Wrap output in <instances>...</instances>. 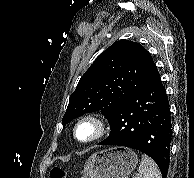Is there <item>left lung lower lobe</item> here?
<instances>
[{
  "label": "left lung lower lobe",
  "mask_w": 194,
  "mask_h": 178,
  "mask_svg": "<svg viewBox=\"0 0 194 178\" xmlns=\"http://www.w3.org/2000/svg\"><path fill=\"white\" fill-rule=\"evenodd\" d=\"M108 120L111 134L99 144L125 146L147 154L159 166L162 178H166L172 124L160 78L125 99Z\"/></svg>",
  "instance_id": "1"
}]
</instances>
